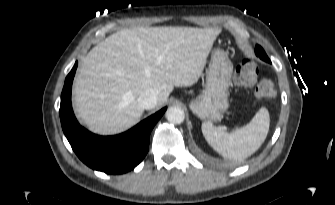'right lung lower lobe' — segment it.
I'll return each mask as SVG.
<instances>
[{
	"mask_svg": "<svg viewBox=\"0 0 335 205\" xmlns=\"http://www.w3.org/2000/svg\"><path fill=\"white\" fill-rule=\"evenodd\" d=\"M77 64L67 75L61 94L59 114L63 132L76 155L92 169L107 174L128 172L147 154L150 133L167 107L120 135H95L79 125L72 110L71 88Z\"/></svg>",
	"mask_w": 335,
	"mask_h": 205,
	"instance_id": "right-lung-lower-lobe-1",
	"label": "right lung lower lobe"
}]
</instances>
